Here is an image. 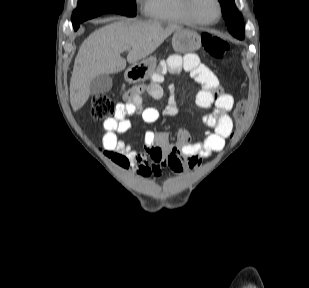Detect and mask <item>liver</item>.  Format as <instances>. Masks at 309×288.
<instances>
[{"label": "liver", "instance_id": "6515ba94", "mask_svg": "<svg viewBox=\"0 0 309 288\" xmlns=\"http://www.w3.org/2000/svg\"><path fill=\"white\" fill-rule=\"evenodd\" d=\"M181 27L157 21L121 19L91 33L81 44L70 81V103L79 110L90 96L91 81L101 74H114L152 54ZM128 48L127 58L121 57Z\"/></svg>", "mask_w": 309, "mask_h": 288}]
</instances>
